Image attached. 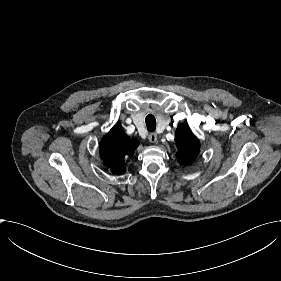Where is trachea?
I'll list each match as a JSON object with an SVG mask.
<instances>
[{
  "mask_svg": "<svg viewBox=\"0 0 281 281\" xmlns=\"http://www.w3.org/2000/svg\"><path fill=\"white\" fill-rule=\"evenodd\" d=\"M145 122L148 131L153 132L156 129V119L152 114L146 117Z\"/></svg>",
  "mask_w": 281,
  "mask_h": 281,
  "instance_id": "obj_1",
  "label": "trachea"
}]
</instances>
